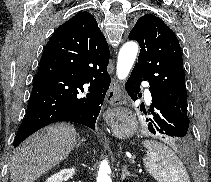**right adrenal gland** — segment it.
<instances>
[{"mask_svg": "<svg viewBox=\"0 0 211 182\" xmlns=\"http://www.w3.org/2000/svg\"><path fill=\"white\" fill-rule=\"evenodd\" d=\"M85 141H86L85 139H78V143L75 145L76 148H79L81 146V144Z\"/></svg>", "mask_w": 211, "mask_h": 182, "instance_id": "right-adrenal-gland-1", "label": "right adrenal gland"}]
</instances>
